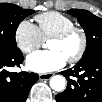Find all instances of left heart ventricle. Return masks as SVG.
<instances>
[{
  "mask_svg": "<svg viewBox=\"0 0 102 102\" xmlns=\"http://www.w3.org/2000/svg\"><path fill=\"white\" fill-rule=\"evenodd\" d=\"M81 45V37L79 34H74L66 41L50 40L48 47L51 50L59 52L66 60L74 56Z\"/></svg>",
  "mask_w": 102,
  "mask_h": 102,
  "instance_id": "left-heart-ventricle-1",
  "label": "left heart ventricle"
}]
</instances>
